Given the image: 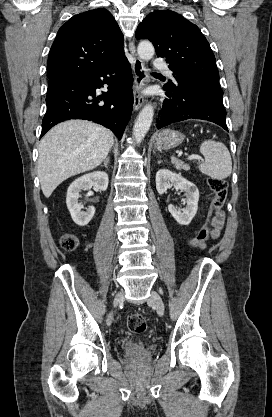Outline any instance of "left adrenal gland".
<instances>
[{"instance_id":"left-adrenal-gland-1","label":"left adrenal gland","mask_w":272,"mask_h":417,"mask_svg":"<svg viewBox=\"0 0 272 417\" xmlns=\"http://www.w3.org/2000/svg\"><path fill=\"white\" fill-rule=\"evenodd\" d=\"M160 163H162V161L161 160H158V164H160Z\"/></svg>"}]
</instances>
